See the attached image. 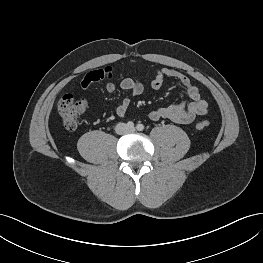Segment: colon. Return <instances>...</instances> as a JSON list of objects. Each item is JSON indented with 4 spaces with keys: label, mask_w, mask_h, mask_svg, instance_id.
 Here are the masks:
<instances>
[{
    "label": "colon",
    "mask_w": 263,
    "mask_h": 263,
    "mask_svg": "<svg viewBox=\"0 0 263 263\" xmlns=\"http://www.w3.org/2000/svg\"><path fill=\"white\" fill-rule=\"evenodd\" d=\"M57 108L64 126L68 130H74L85 113L86 102L82 98L77 99L71 94H66L59 100ZM208 126L209 123L206 121L197 125L199 129H205Z\"/></svg>",
    "instance_id": "obj_1"
}]
</instances>
